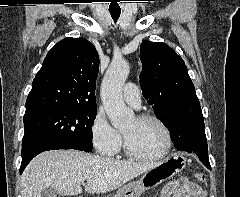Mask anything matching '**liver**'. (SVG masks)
Returning a JSON list of instances; mask_svg holds the SVG:
<instances>
[{
  "label": "liver",
  "mask_w": 240,
  "mask_h": 197,
  "mask_svg": "<svg viewBox=\"0 0 240 197\" xmlns=\"http://www.w3.org/2000/svg\"><path fill=\"white\" fill-rule=\"evenodd\" d=\"M160 163L101 157L78 150H52L36 156L22 174V197H40L44 188L63 196L106 193L121 187Z\"/></svg>",
  "instance_id": "6515ba94"
}]
</instances>
